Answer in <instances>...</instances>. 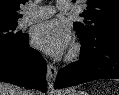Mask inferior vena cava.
<instances>
[{
    "label": "inferior vena cava",
    "mask_w": 119,
    "mask_h": 95,
    "mask_svg": "<svg viewBox=\"0 0 119 95\" xmlns=\"http://www.w3.org/2000/svg\"><path fill=\"white\" fill-rule=\"evenodd\" d=\"M28 93H27V91L26 90H24L23 91V95H27Z\"/></svg>",
    "instance_id": "obj_1"
}]
</instances>
